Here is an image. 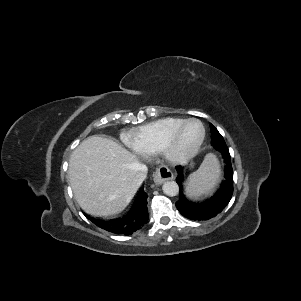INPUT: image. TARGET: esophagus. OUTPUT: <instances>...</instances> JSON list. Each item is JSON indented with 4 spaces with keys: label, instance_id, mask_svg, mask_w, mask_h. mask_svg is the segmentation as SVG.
Masks as SVG:
<instances>
[{
    "label": "esophagus",
    "instance_id": "obj_1",
    "mask_svg": "<svg viewBox=\"0 0 301 301\" xmlns=\"http://www.w3.org/2000/svg\"><path fill=\"white\" fill-rule=\"evenodd\" d=\"M171 179H173V173L165 165L160 166L153 175V180L157 185Z\"/></svg>",
    "mask_w": 301,
    "mask_h": 301
}]
</instances>
